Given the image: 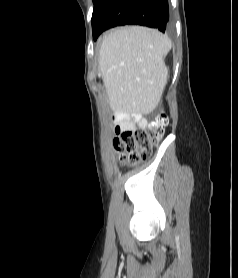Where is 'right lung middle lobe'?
Masks as SVG:
<instances>
[{
    "label": "right lung middle lobe",
    "mask_w": 238,
    "mask_h": 278,
    "mask_svg": "<svg viewBox=\"0 0 238 278\" xmlns=\"http://www.w3.org/2000/svg\"><path fill=\"white\" fill-rule=\"evenodd\" d=\"M96 1H97V0H93V3L95 4Z\"/></svg>",
    "instance_id": "1"
}]
</instances>
